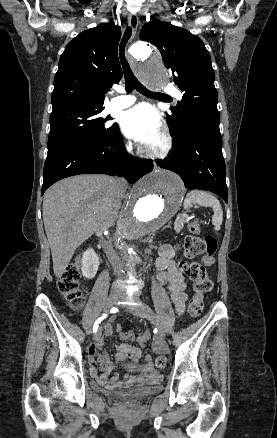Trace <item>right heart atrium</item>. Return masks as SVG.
Masks as SVG:
<instances>
[{
	"label": "right heart atrium",
	"instance_id": "obj_1",
	"mask_svg": "<svg viewBox=\"0 0 277 438\" xmlns=\"http://www.w3.org/2000/svg\"><path fill=\"white\" fill-rule=\"evenodd\" d=\"M126 147H127V149H130L131 148V144L129 143V142H126Z\"/></svg>",
	"mask_w": 277,
	"mask_h": 438
}]
</instances>
